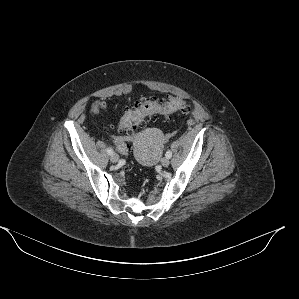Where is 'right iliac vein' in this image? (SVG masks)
<instances>
[{
  "label": "right iliac vein",
  "instance_id": "63e3f726",
  "mask_svg": "<svg viewBox=\"0 0 299 299\" xmlns=\"http://www.w3.org/2000/svg\"><path fill=\"white\" fill-rule=\"evenodd\" d=\"M110 160H111V162H113V163H117L118 160H119V156H118V154L113 153V154L110 156Z\"/></svg>",
  "mask_w": 299,
  "mask_h": 299
}]
</instances>
